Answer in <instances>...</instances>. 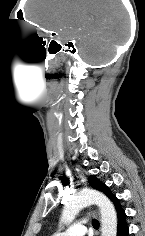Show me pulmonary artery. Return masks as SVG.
Wrapping results in <instances>:
<instances>
[{
  "label": "pulmonary artery",
  "mask_w": 145,
  "mask_h": 236,
  "mask_svg": "<svg viewBox=\"0 0 145 236\" xmlns=\"http://www.w3.org/2000/svg\"><path fill=\"white\" fill-rule=\"evenodd\" d=\"M85 221H81L76 223L75 225L69 227L67 230L63 232H59L54 236H84L86 232V227L83 224Z\"/></svg>",
  "instance_id": "1"
}]
</instances>
